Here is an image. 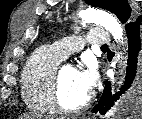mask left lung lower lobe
I'll list each match as a JSON object with an SVG mask.
<instances>
[{
	"label": "left lung lower lobe",
	"mask_w": 142,
	"mask_h": 119,
	"mask_svg": "<svg viewBox=\"0 0 142 119\" xmlns=\"http://www.w3.org/2000/svg\"><path fill=\"white\" fill-rule=\"evenodd\" d=\"M125 30L128 37V67L125 84L121 87V92L112 95L110 82H106L98 105L93 109L94 112L105 114L122 94L128 109L137 110L142 106V15L129 22Z\"/></svg>",
	"instance_id": "0a47b994"
}]
</instances>
